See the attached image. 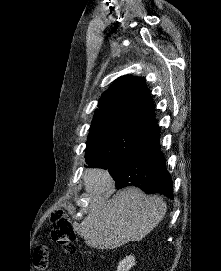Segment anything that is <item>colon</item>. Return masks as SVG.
I'll list each match as a JSON object with an SVG mask.
<instances>
[{
    "instance_id": "5ec220e1",
    "label": "colon",
    "mask_w": 221,
    "mask_h": 271,
    "mask_svg": "<svg viewBox=\"0 0 221 271\" xmlns=\"http://www.w3.org/2000/svg\"><path fill=\"white\" fill-rule=\"evenodd\" d=\"M51 220V238L54 242L61 244L67 251L75 252L76 235L68 212L64 209H56L50 215ZM49 256L48 247L45 245L33 251L31 260L36 268L44 269L47 265V258Z\"/></svg>"
}]
</instances>
